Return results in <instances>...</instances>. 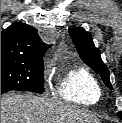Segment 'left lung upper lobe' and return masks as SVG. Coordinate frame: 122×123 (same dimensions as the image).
<instances>
[{
	"mask_svg": "<svg viewBox=\"0 0 122 123\" xmlns=\"http://www.w3.org/2000/svg\"><path fill=\"white\" fill-rule=\"evenodd\" d=\"M69 35L81 59L112 89L109 70L101 60L100 51L95 47L91 33L81 27H75L69 29ZM117 115L122 118V112H118Z\"/></svg>",
	"mask_w": 122,
	"mask_h": 123,
	"instance_id": "obj_1",
	"label": "left lung upper lobe"
}]
</instances>
